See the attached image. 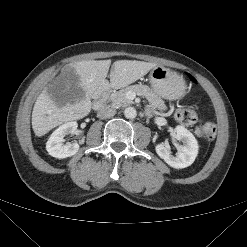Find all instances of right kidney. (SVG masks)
<instances>
[{
  "label": "right kidney",
  "instance_id": "obj_1",
  "mask_svg": "<svg viewBox=\"0 0 247 247\" xmlns=\"http://www.w3.org/2000/svg\"><path fill=\"white\" fill-rule=\"evenodd\" d=\"M78 127L77 122H67L57 128L46 143V150L55 158H67L75 155L79 150L78 143L63 144L64 137L73 134Z\"/></svg>",
  "mask_w": 247,
  "mask_h": 247
}]
</instances>
